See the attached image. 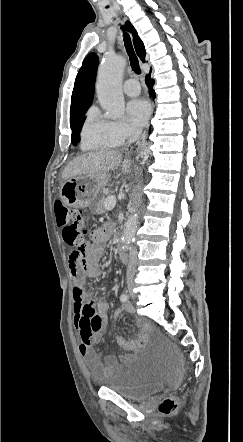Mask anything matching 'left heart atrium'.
<instances>
[{"label": "left heart atrium", "mask_w": 243, "mask_h": 442, "mask_svg": "<svg viewBox=\"0 0 243 442\" xmlns=\"http://www.w3.org/2000/svg\"><path fill=\"white\" fill-rule=\"evenodd\" d=\"M130 122L136 127H142L150 116V106L144 99H133L127 105Z\"/></svg>", "instance_id": "1"}]
</instances>
